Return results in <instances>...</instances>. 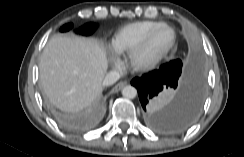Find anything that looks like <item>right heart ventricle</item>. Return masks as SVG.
Listing matches in <instances>:
<instances>
[{
  "label": "right heart ventricle",
  "mask_w": 244,
  "mask_h": 157,
  "mask_svg": "<svg viewBox=\"0 0 244 157\" xmlns=\"http://www.w3.org/2000/svg\"><path fill=\"white\" fill-rule=\"evenodd\" d=\"M159 21H141L121 27L111 41L112 50L120 55L130 53L155 28L162 25Z\"/></svg>",
  "instance_id": "1"
}]
</instances>
